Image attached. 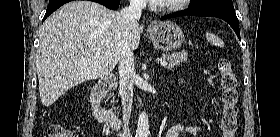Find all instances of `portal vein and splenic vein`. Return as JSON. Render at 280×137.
I'll use <instances>...</instances> for the list:
<instances>
[{
  "label": "portal vein and splenic vein",
  "instance_id": "18ae733b",
  "mask_svg": "<svg viewBox=\"0 0 280 137\" xmlns=\"http://www.w3.org/2000/svg\"><path fill=\"white\" fill-rule=\"evenodd\" d=\"M168 63H167V61H163V62H161V66H166Z\"/></svg>",
  "mask_w": 280,
  "mask_h": 137
}]
</instances>
